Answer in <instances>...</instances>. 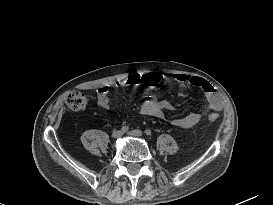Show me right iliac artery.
<instances>
[{
	"label": "right iliac artery",
	"mask_w": 273,
	"mask_h": 205,
	"mask_svg": "<svg viewBox=\"0 0 273 205\" xmlns=\"http://www.w3.org/2000/svg\"><path fill=\"white\" fill-rule=\"evenodd\" d=\"M129 130V126L125 125L121 128L122 132H127Z\"/></svg>",
	"instance_id": "1"
}]
</instances>
